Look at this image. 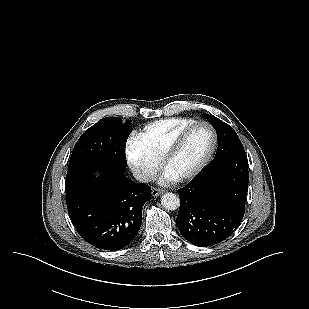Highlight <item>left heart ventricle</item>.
<instances>
[{
	"label": "left heart ventricle",
	"mask_w": 309,
	"mask_h": 309,
	"mask_svg": "<svg viewBox=\"0 0 309 309\" xmlns=\"http://www.w3.org/2000/svg\"><path fill=\"white\" fill-rule=\"evenodd\" d=\"M211 142L210 130L205 126L196 127L180 151L170 161L167 170L176 177L190 171L207 154Z\"/></svg>",
	"instance_id": "obj_1"
}]
</instances>
